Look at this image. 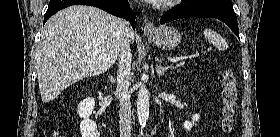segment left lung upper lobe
<instances>
[{"instance_id": "obj_1", "label": "left lung upper lobe", "mask_w": 280, "mask_h": 137, "mask_svg": "<svg viewBox=\"0 0 280 137\" xmlns=\"http://www.w3.org/2000/svg\"><path fill=\"white\" fill-rule=\"evenodd\" d=\"M205 1H212V0H189L190 3H198V2H205ZM222 1L231 2V0H222Z\"/></svg>"}]
</instances>
